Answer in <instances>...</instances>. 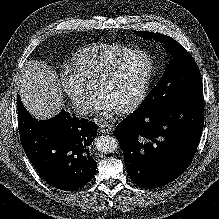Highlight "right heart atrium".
Returning <instances> with one entry per match:
<instances>
[{
  "label": "right heart atrium",
  "instance_id": "1",
  "mask_svg": "<svg viewBox=\"0 0 219 219\" xmlns=\"http://www.w3.org/2000/svg\"><path fill=\"white\" fill-rule=\"evenodd\" d=\"M59 86L79 114L86 115L91 111L96 93L73 71H66L60 76Z\"/></svg>",
  "mask_w": 219,
  "mask_h": 219
}]
</instances>
